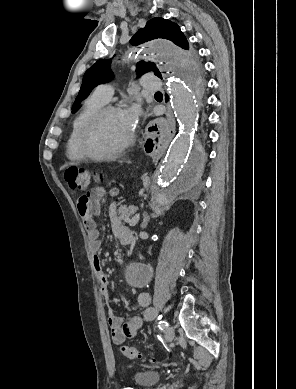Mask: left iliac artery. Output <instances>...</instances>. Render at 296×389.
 <instances>
[{
	"label": "left iliac artery",
	"instance_id": "44dca946",
	"mask_svg": "<svg viewBox=\"0 0 296 389\" xmlns=\"http://www.w3.org/2000/svg\"><path fill=\"white\" fill-rule=\"evenodd\" d=\"M158 327L160 330L165 331L168 328V323L166 321H161L158 323Z\"/></svg>",
	"mask_w": 296,
	"mask_h": 389
}]
</instances>
